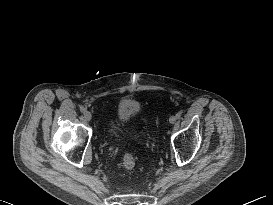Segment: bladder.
<instances>
[{
    "label": "bladder",
    "mask_w": 273,
    "mask_h": 205,
    "mask_svg": "<svg viewBox=\"0 0 273 205\" xmlns=\"http://www.w3.org/2000/svg\"><path fill=\"white\" fill-rule=\"evenodd\" d=\"M140 104L137 100L125 98L120 100L115 106L116 118L119 122H128L139 111ZM108 132L111 138L117 139L120 135V129L116 122L109 125Z\"/></svg>",
    "instance_id": "obj_1"
}]
</instances>
